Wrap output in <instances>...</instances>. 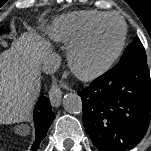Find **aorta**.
Here are the masks:
<instances>
[{
	"label": "aorta",
	"mask_w": 151,
	"mask_h": 151,
	"mask_svg": "<svg viewBox=\"0 0 151 151\" xmlns=\"http://www.w3.org/2000/svg\"><path fill=\"white\" fill-rule=\"evenodd\" d=\"M64 109L70 114H78L82 111L81 97L75 93H67L62 99Z\"/></svg>",
	"instance_id": "obj_1"
}]
</instances>
